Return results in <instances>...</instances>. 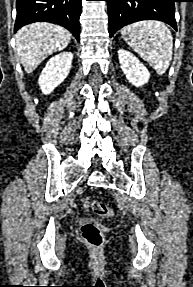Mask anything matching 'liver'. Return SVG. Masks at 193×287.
Masks as SVG:
<instances>
[{
	"label": "liver",
	"instance_id": "1",
	"mask_svg": "<svg viewBox=\"0 0 193 287\" xmlns=\"http://www.w3.org/2000/svg\"><path fill=\"white\" fill-rule=\"evenodd\" d=\"M15 38L20 62L32 73L44 59L68 46L71 33L59 25L34 23L19 29Z\"/></svg>",
	"mask_w": 193,
	"mask_h": 287
}]
</instances>
